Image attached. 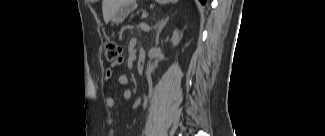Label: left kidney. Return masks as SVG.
Instances as JSON below:
<instances>
[{"instance_id":"obj_1","label":"left kidney","mask_w":325,"mask_h":136,"mask_svg":"<svg viewBox=\"0 0 325 136\" xmlns=\"http://www.w3.org/2000/svg\"><path fill=\"white\" fill-rule=\"evenodd\" d=\"M183 34L180 33L178 30H174L173 32V36L171 39V42L173 44V46H177L182 38Z\"/></svg>"}]
</instances>
